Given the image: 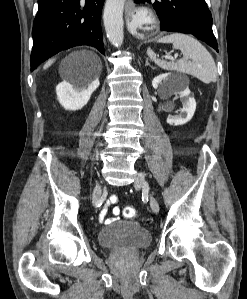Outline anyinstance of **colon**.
I'll use <instances>...</instances> for the list:
<instances>
[{
    "label": "colon",
    "instance_id": "5ec220e1",
    "mask_svg": "<svg viewBox=\"0 0 247 299\" xmlns=\"http://www.w3.org/2000/svg\"><path fill=\"white\" fill-rule=\"evenodd\" d=\"M123 215L126 218H134L137 215V211L135 208L127 206L123 209Z\"/></svg>",
    "mask_w": 247,
    "mask_h": 299
}]
</instances>
